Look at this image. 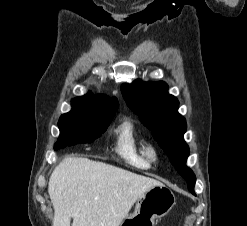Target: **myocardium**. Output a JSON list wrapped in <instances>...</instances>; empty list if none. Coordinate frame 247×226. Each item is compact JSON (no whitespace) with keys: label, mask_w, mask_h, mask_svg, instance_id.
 Segmentation results:
<instances>
[{"label":"myocardium","mask_w":247,"mask_h":226,"mask_svg":"<svg viewBox=\"0 0 247 226\" xmlns=\"http://www.w3.org/2000/svg\"><path fill=\"white\" fill-rule=\"evenodd\" d=\"M148 157L151 161H156L158 159V152L156 148L152 145L146 146Z\"/></svg>","instance_id":"1"}]
</instances>
